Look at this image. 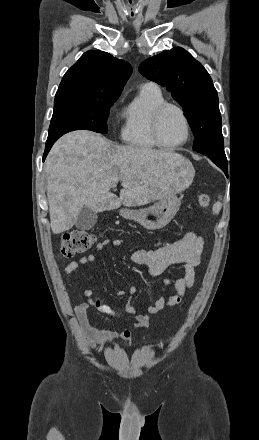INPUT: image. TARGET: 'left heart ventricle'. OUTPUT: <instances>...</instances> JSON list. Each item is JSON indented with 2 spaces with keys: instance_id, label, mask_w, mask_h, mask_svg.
I'll return each mask as SVG.
<instances>
[{
  "instance_id": "left-heart-ventricle-1",
  "label": "left heart ventricle",
  "mask_w": 259,
  "mask_h": 440,
  "mask_svg": "<svg viewBox=\"0 0 259 440\" xmlns=\"http://www.w3.org/2000/svg\"><path fill=\"white\" fill-rule=\"evenodd\" d=\"M160 136L169 145L177 144L184 140L186 128L182 117L175 109H168L161 120Z\"/></svg>"
}]
</instances>
